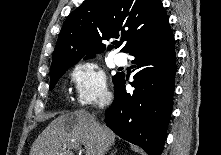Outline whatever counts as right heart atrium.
I'll list each match as a JSON object with an SVG mask.
<instances>
[{
    "label": "right heart atrium",
    "mask_w": 221,
    "mask_h": 155,
    "mask_svg": "<svg viewBox=\"0 0 221 155\" xmlns=\"http://www.w3.org/2000/svg\"><path fill=\"white\" fill-rule=\"evenodd\" d=\"M70 78L78 104L89 106L111 100L112 93L106 75L96 63L83 61L76 64L71 70Z\"/></svg>",
    "instance_id": "obj_1"
}]
</instances>
